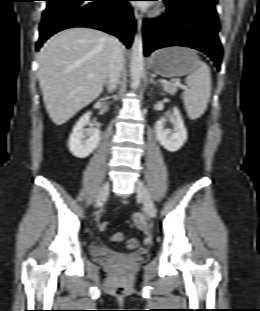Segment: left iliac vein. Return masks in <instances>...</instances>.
I'll return each mask as SVG.
<instances>
[{
	"label": "left iliac vein",
	"instance_id": "4c4485c4",
	"mask_svg": "<svg viewBox=\"0 0 260 311\" xmlns=\"http://www.w3.org/2000/svg\"><path fill=\"white\" fill-rule=\"evenodd\" d=\"M135 191L143 202L146 214L152 218L156 216V208L150 194L140 179L135 182Z\"/></svg>",
	"mask_w": 260,
	"mask_h": 311
}]
</instances>
